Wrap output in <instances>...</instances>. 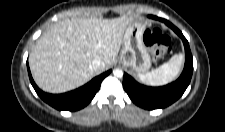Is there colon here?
<instances>
[{"instance_id":"5ec220e1","label":"colon","mask_w":225,"mask_h":132,"mask_svg":"<svg viewBox=\"0 0 225 132\" xmlns=\"http://www.w3.org/2000/svg\"><path fill=\"white\" fill-rule=\"evenodd\" d=\"M143 40L156 58L163 57L172 51L169 35L157 28L146 30Z\"/></svg>"}]
</instances>
